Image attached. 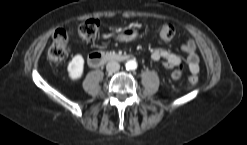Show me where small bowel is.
<instances>
[{"label": "small bowel", "mask_w": 247, "mask_h": 145, "mask_svg": "<svg viewBox=\"0 0 247 145\" xmlns=\"http://www.w3.org/2000/svg\"><path fill=\"white\" fill-rule=\"evenodd\" d=\"M181 50L186 54L189 71L196 75L199 72L200 63L199 56L196 53V43L193 40H189L181 46ZM151 59L153 61L163 60L167 68H173L181 64L179 55L163 49L154 50L151 53Z\"/></svg>", "instance_id": "1"}]
</instances>
